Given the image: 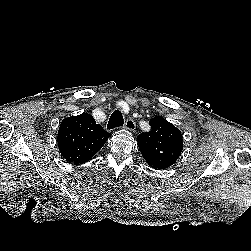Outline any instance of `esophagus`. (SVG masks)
I'll return each instance as SVG.
<instances>
[{
	"label": "esophagus",
	"instance_id": "esophagus-1",
	"mask_svg": "<svg viewBox=\"0 0 251 251\" xmlns=\"http://www.w3.org/2000/svg\"><path fill=\"white\" fill-rule=\"evenodd\" d=\"M135 127H136L135 122L131 118H128L124 124V128L129 130L130 132H134Z\"/></svg>",
	"mask_w": 251,
	"mask_h": 251
}]
</instances>
